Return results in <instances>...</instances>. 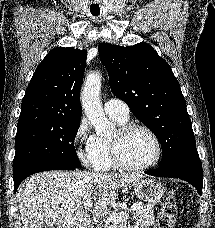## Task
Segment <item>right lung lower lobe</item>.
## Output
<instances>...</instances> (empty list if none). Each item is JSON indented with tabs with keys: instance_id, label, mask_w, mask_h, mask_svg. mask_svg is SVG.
<instances>
[{
	"instance_id": "98d812e1",
	"label": "right lung lower lobe",
	"mask_w": 215,
	"mask_h": 228,
	"mask_svg": "<svg viewBox=\"0 0 215 228\" xmlns=\"http://www.w3.org/2000/svg\"><path fill=\"white\" fill-rule=\"evenodd\" d=\"M76 168L79 167L58 163H37L17 168L13 170L14 193L17 191L22 180L32 174L48 170H74Z\"/></svg>"
}]
</instances>
